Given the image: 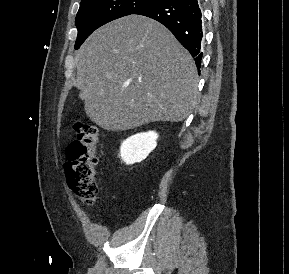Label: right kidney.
I'll use <instances>...</instances> for the list:
<instances>
[{
    "instance_id": "ca27d5eb",
    "label": "right kidney",
    "mask_w": 289,
    "mask_h": 274,
    "mask_svg": "<svg viewBox=\"0 0 289 274\" xmlns=\"http://www.w3.org/2000/svg\"><path fill=\"white\" fill-rule=\"evenodd\" d=\"M158 134L148 131L135 134L123 141L120 147V155L127 165L141 162L157 146Z\"/></svg>"
}]
</instances>
